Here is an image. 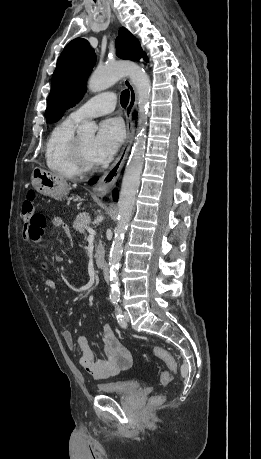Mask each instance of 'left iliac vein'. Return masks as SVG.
I'll use <instances>...</instances> for the list:
<instances>
[{"label": "left iliac vein", "mask_w": 261, "mask_h": 459, "mask_svg": "<svg viewBox=\"0 0 261 459\" xmlns=\"http://www.w3.org/2000/svg\"><path fill=\"white\" fill-rule=\"evenodd\" d=\"M124 319H125V322H129L130 320L129 314L126 311L124 312Z\"/></svg>", "instance_id": "1"}]
</instances>
